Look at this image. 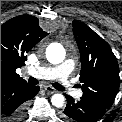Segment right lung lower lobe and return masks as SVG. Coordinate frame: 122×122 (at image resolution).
Here are the masks:
<instances>
[{
	"label": "right lung lower lobe",
	"mask_w": 122,
	"mask_h": 122,
	"mask_svg": "<svg viewBox=\"0 0 122 122\" xmlns=\"http://www.w3.org/2000/svg\"><path fill=\"white\" fill-rule=\"evenodd\" d=\"M39 86L28 83L1 84V122L20 119L25 112L26 102L38 92Z\"/></svg>",
	"instance_id": "98d812e1"
}]
</instances>
